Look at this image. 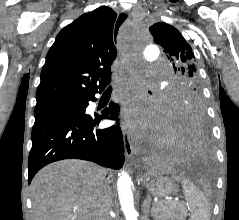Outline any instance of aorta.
<instances>
[{"label": "aorta", "instance_id": "obj_1", "mask_svg": "<svg viewBox=\"0 0 239 220\" xmlns=\"http://www.w3.org/2000/svg\"><path fill=\"white\" fill-rule=\"evenodd\" d=\"M123 40H142L140 33H124ZM124 46H144V45H124ZM145 61H158L159 52L157 48H145ZM131 178L126 171H122L118 175L117 190L121 210L123 211L126 220H138V213L134 207V198L131 190Z\"/></svg>", "mask_w": 239, "mask_h": 220}]
</instances>
